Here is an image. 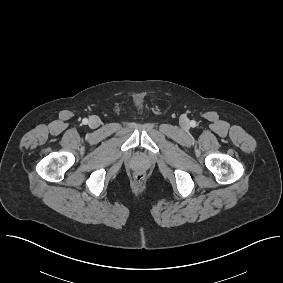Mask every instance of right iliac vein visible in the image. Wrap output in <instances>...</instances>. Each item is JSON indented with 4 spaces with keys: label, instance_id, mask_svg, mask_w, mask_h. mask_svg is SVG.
<instances>
[{
    "label": "right iliac vein",
    "instance_id": "right-iliac-vein-1",
    "mask_svg": "<svg viewBox=\"0 0 283 283\" xmlns=\"http://www.w3.org/2000/svg\"><path fill=\"white\" fill-rule=\"evenodd\" d=\"M88 124L91 128H97L100 125V120L97 116L90 117Z\"/></svg>",
    "mask_w": 283,
    "mask_h": 283
}]
</instances>
